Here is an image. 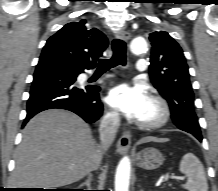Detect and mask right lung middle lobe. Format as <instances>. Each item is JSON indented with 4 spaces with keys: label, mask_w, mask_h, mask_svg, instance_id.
I'll use <instances>...</instances> for the list:
<instances>
[{
    "label": "right lung middle lobe",
    "mask_w": 218,
    "mask_h": 191,
    "mask_svg": "<svg viewBox=\"0 0 218 191\" xmlns=\"http://www.w3.org/2000/svg\"><path fill=\"white\" fill-rule=\"evenodd\" d=\"M40 61H56V62L66 63L62 60H59V59L51 57V56L40 57ZM74 76H77V74H74Z\"/></svg>",
    "instance_id": "obj_1"
}]
</instances>
